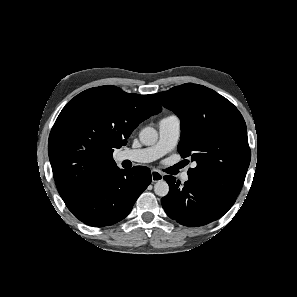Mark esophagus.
I'll return each mask as SVG.
<instances>
[{
  "mask_svg": "<svg viewBox=\"0 0 297 297\" xmlns=\"http://www.w3.org/2000/svg\"><path fill=\"white\" fill-rule=\"evenodd\" d=\"M151 178L153 182H159L163 180V175L157 170H152Z\"/></svg>",
  "mask_w": 297,
  "mask_h": 297,
  "instance_id": "obj_1",
  "label": "esophagus"
}]
</instances>
